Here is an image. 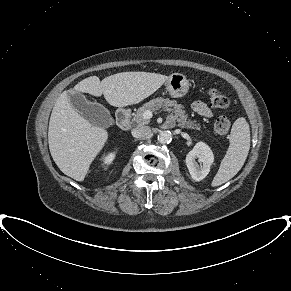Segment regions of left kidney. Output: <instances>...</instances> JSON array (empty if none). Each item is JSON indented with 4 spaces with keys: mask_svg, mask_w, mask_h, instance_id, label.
Here are the masks:
<instances>
[{
    "mask_svg": "<svg viewBox=\"0 0 291 291\" xmlns=\"http://www.w3.org/2000/svg\"><path fill=\"white\" fill-rule=\"evenodd\" d=\"M196 159H198L200 165L196 162ZM213 161L212 150L202 141L198 142L186 156L187 168L195 181H201L208 175Z\"/></svg>",
    "mask_w": 291,
    "mask_h": 291,
    "instance_id": "5707ae66",
    "label": "left kidney"
}]
</instances>
